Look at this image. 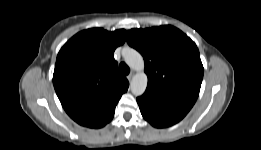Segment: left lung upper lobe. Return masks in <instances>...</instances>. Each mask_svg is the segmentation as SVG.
Wrapping results in <instances>:
<instances>
[{
  "instance_id": "5c2ea615",
  "label": "left lung upper lobe",
  "mask_w": 261,
  "mask_h": 150,
  "mask_svg": "<svg viewBox=\"0 0 261 150\" xmlns=\"http://www.w3.org/2000/svg\"><path fill=\"white\" fill-rule=\"evenodd\" d=\"M127 42L145 61L148 85L143 95L191 109L204 72L196 44L170 25L131 29L127 32Z\"/></svg>"
}]
</instances>
